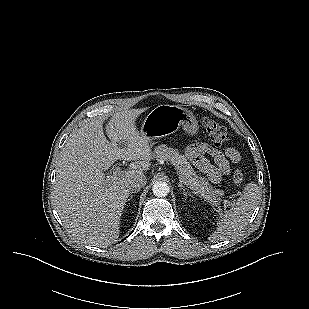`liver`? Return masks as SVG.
Listing matches in <instances>:
<instances>
[{"label":"liver","mask_w":309,"mask_h":309,"mask_svg":"<svg viewBox=\"0 0 309 309\" xmlns=\"http://www.w3.org/2000/svg\"><path fill=\"white\" fill-rule=\"evenodd\" d=\"M145 109L116 113L106 125L92 119L72 133L62 148L54 185V204L65 228L88 245L106 247L120 232L130 190L127 180L144 174L153 158L149 140L135 125ZM138 160L121 175L105 176L116 160Z\"/></svg>","instance_id":"1"}]
</instances>
